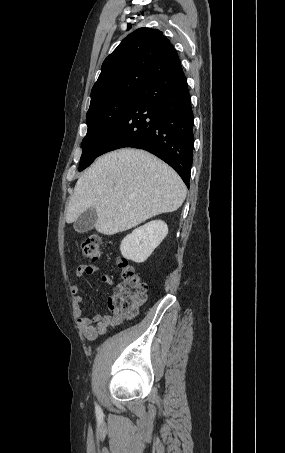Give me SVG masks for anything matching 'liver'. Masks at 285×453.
Returning <instances> with one entry per match:
<instances>
[{"instance_id": "1", "label": "liver", "mask_w": 285, "mask_h": 453, "mask_svg": "<svg viewBox=\"0 0 285 453\" xmlns=\"http://www.w3.org/2000/svg\"><path fill=\"white\" fill-rule=\"evenodd\" d=\"M185 197V184L170 166L146 151L124 148L100 156L78 179L66 222L93 207L96 230L113 235L176 211Z\"/></svg>"}]
</instances>
